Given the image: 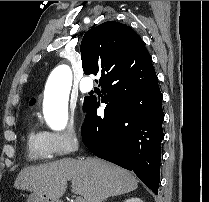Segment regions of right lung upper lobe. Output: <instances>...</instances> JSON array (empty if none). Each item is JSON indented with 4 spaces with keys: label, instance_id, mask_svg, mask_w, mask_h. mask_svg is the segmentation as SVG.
I'll return each instance as SVG.
<instances>
[{
    "label": "right lung upper lobe",
    "instance_id": "obj_1",
    "mask_svg": "<svg viewBox=\"0 0 209 202\" xmlns=\"http://www.w3.org/2000/svg\"><path fill=\"white\" fill-rule=\"evenodd\" d=\"M84 73L100 75L99 83L111 87L146 74L151 56L141 37L129 26L108 21L88 30L81 42ZM147 59V60H146ZM32 99L30 104H34Z\"/></svg>",
    "mask_w": 209,
    "mask_h": 202
}]
</instances>
